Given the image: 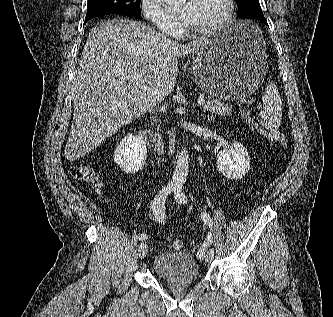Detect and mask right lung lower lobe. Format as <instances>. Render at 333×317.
<instances>
[{"label":"right lung lower lobe","instance_id":"98d812e1","mask_svg":"<svg viewBox=\"0 0 333 317\" xmlns=\"http://www.w3.org/2000/svg\"><path fill=\"white\" fill-rule=\"evenodd\" d=\"M89 19L85 18V23L88 21Z\"/></svg>","mask_w":333,"mask_h":317}]
</instances>
